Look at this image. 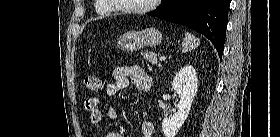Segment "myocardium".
<instances>
[{
	"mask_svg": "<svg viewBox=\"0 0 280 137\" xmlns=\"http://www.w3.org/2000/svg\"><path fill=\"white\" fill-rule=\"evenodd\" d=\"M158 2L159 0H149V3L145 6L120 8L118 10L122 13L129 14V15L142 14L152 10L157 5ZM113 7H117V6L113 5Z\"/></svg>",
	"mask_w": 280,
	"mask_h": 137,
	"instance_id": "1",
	"label": "myocardium"
}]
</instances>
